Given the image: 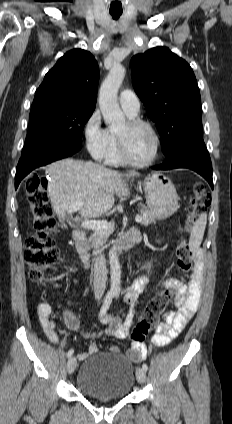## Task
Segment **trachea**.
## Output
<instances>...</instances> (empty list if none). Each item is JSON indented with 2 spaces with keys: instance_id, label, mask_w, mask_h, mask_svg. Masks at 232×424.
<instances>
[{
  "instance_id": "3493384b",
  "label": "trachea",
  "mask_w": 232,
  "mask_h": 424,
  "mask_svg": "<svg viewBox=\"0 0 232 424\" xmlns=\"http://www.w3.org/2000/svg\"><path fill=\"white\" fill-rule=\"evenodd\" d=\"M113 19L117 20L121 16V12H110Z\"/></svg>"
}]
</instances>
